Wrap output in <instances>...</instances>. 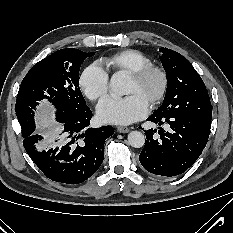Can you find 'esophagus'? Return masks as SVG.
<instances>
[{
	"label": "esophagus",
	"mask_w": 233,
	"mask_h": 233,
	"mask_svg": "<svg viewBox=\"0 0 233 233\" xmlns=\"http://www.w3.org/2000/svg\"><path fill=\"white\" fill-rule=\"evenodd\" d=\"M117 131L119 133H127V132H129V128L128 127H124V126H118L117 127Z\"/></svg>",
	"instance_id": "34e87169"
}]
</instances>
